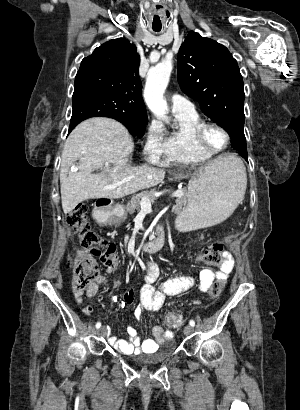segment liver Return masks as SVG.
Returning a JSON list of instances; mask_svg holds the SVG:
<instances>
[{
    "label": "liver",
    "instance_id": "1",
    "mask_svg": "<svg viewBox=\"0 0 300 410\" xmlns=\"http://www.w3.org/2000/svg\"><path fill=\"white\" fill-rule=\"evenodd\" d=\"M133 148L127 129L113 119L90 118L75 127L62 152L60 183L64 213H70L88 199L122 198L161 183L165 178L163 169L127 165ZM230 158L231 155L220 156L204 168L223 167ZM77 160L78 172H69ZM96 169L102 172L93 174Z\"/></svg>",
    "mask_w": 300,
    "mask_h": 410
}]
</instances>
